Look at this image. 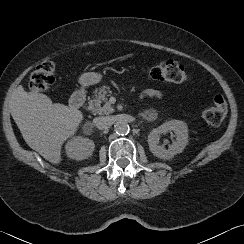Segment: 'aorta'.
<instances>
[{
  "mask_svg": "<svg viewBox=\"0 0 244 244\" xmlns=\"http://www.w3.org/2000/svg\"><path fill=\"white\" fill-rule=\"evenodd\" d=\"M130 127L126 122H118L115 125V131L118 134L124 135L129 133Z\"/></svg>",
  "mask_w": 244,
  "mask_h": 244,
  "instance_id": "762f6f07",
  "label": "aorta"
}]
</instances>
